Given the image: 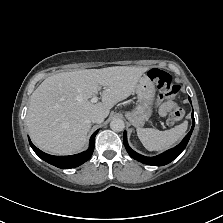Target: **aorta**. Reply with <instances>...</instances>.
<instances>
[{"label": "aorta", "mask_w": 223, "mask_h": 223, "mask_svg": "<svg viewBox=\"0 0 223 223\" xmlns=\"http://www.w3.org/2000/svg\"><path fill=\"white\" fill-rule=\"evenodd\" d=\"M110 127L113 131L119 132L122 131L125 127V123L121 118H114L110 122Z\"/></svg>", "instance_id": "aorta-1"}]
</instances>
